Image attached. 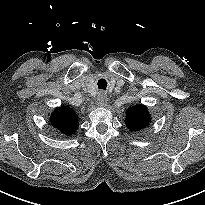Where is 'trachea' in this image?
Masks as SVG:
<instances>
[{"label":"trachea","mask_w":205,"mask_h":205,"mask_svg":"<svg viewBox=\"0 0 205 205\" xmlns=\"http://www.w3.org/2000/svg\"><path fill=\"white\" fill-rule=\"evenodd\" d=\"M99 89L105 90L107 87V82L105 79H100L97 83Z\"/></svg>","instance_id":"3493384b"}]
</instances>
